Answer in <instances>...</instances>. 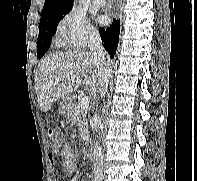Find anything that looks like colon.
Segmentation results:
<instances>
[{
	"mask_svg": "<svg viewBox=\"0 0 197 181\" xmlns=\"http://www.w3.org/2000/svg\"><path fill=\"white\" fill-rule=\"evenodd\" d=\"M47 142L53 151H58L62 145V139L58 136L56 129L53 127L47 130Z\"/></svg>",
	"mask_w": 197,
	"mask_h": 181,
	"instance_id": "colon-1",
	"label": "colon"
}]
</instances>
